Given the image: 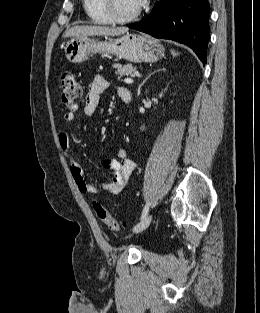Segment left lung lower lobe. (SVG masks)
Returning <instances> with one entry per match:
<instances>
[{
    "mask_svg": "<svg viewBox=\"0 0 260 313\" xmlns=\"http://www.w3.org/2000/svg\"><path fill=\"white\" fill-rule=\"evenodd\" d=\"M208 19V0H161L147 17L129 28L186 44L206 63Z\"/></svg>",
    "mask_w": 260,
    "mask_h": 313,
    "instance_id": "obj_1",
    "label": "left lung lower lobe"
}]
</instances>
